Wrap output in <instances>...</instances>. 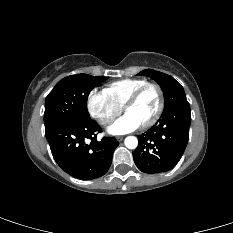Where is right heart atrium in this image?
<instances>
[{
    "label": "right heart atrium",
    "instance_id": "d8ad5b80",
    "mask_svg": "<svg viewBox=\"0 0 233 233\" xmlns=\"http://www.w3.org/2000/svg\"><path fill=\"white\" fill-rule=\"evenodd\" d=\"M87 109L90 116L101 125H108L122 111V107L110 101L103 92L95 90L87 97Z\"/></svg>",
    "mask_w": 233,
    "mask_h": 233
}]
</instances>
